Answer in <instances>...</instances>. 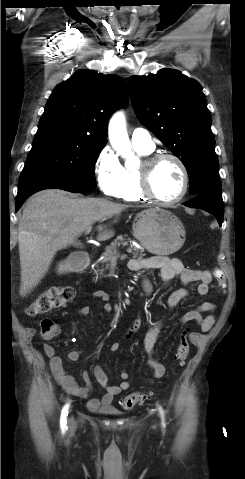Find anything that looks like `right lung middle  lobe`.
I'll return each instance as SVG.
<instances>
[{
  "label": "right lung middle lobe",
  "mask_w": 245,
  "mask_h": 479,
  "mask_svg": "<svg viewBox=\"0 0 245 479\" xmlns=\"http://www.w3.org/2000/svg\"><path fill=\"white\" fill-rule=\"evenodd\" d=\"M104 145L87 136L61 129L38 130L19 179L54 178L96 187L94 166Z\"/></svg>",
  "instance_id": "1"
}]
</instances>
